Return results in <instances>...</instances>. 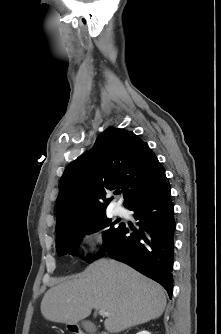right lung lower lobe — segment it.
<instances>
[{
	"label": "right lung lower lobe",
	"mask_w": 221,
	"mask_h": 334,
	"mask_svg": "<svg viewBox=\"0 0 221 334\" xmlns=\"http://www.w3.org/2000/svg\"><path fill=\"white\" fill-rule=\"evenodd\" d=\"M170 185L164 175L127 208L135 212L139 230L129 233L124 225L113 244L105 251L112 259L124 262L160 283L173 293L174 205Z\"/></svg>",
	"instance_id": "obj_1"
}]
</instances>
